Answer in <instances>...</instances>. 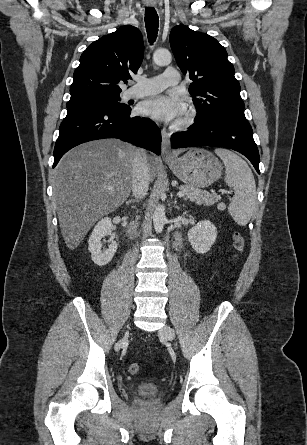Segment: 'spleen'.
<instances>
[{
    "instance_id": "3e777b00",
    "label": "spleen",
    "mask_w": 307,
    "mask_h": 445,
    "mask_svg": "<svg viewBox=\"0 0 307 445\" xmlns=\"http://www.w3.org/2000/svg\"><path fill=\"white\" fill-rule=\"evenodd\" d=\"M215 152L224 162L225 182L234 190L228 210L235 223L245 227L253 212L257 210V192L253 172L246 160L232 150L215 148Z\"/></svg>"
}]
</instances>
